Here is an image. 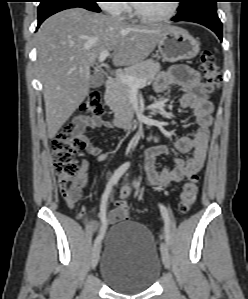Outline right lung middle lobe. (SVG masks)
I'll list each match as a JSON object with an SVG mask.
<instances>
[{
	"instance_id": "obj_1",
	"label": "right lung middle lobe",
	"mask_w": 248,
	"mask_h": 299,
	"mask_svg": "<svg viewBox=\"0 0 248 299\" xmlns=\"http://www.w3.org/2000/svg\"><path fill=\"white\" fill-rule=\"evenodd\" d=\"M38 7V17L62 6H76L88 9L90 11L100 12L96 0H40Z\"/></svg>"
}]
</instances>
